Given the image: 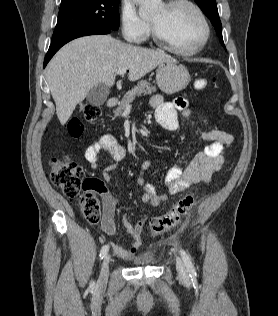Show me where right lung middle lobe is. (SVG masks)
<instances>
[{
	"instance_id": "right-lung-middle-lobe-1",
	"label": "right lung middle lobe",
	"mask_w": 278,
	"mask_h": 316,
	"mask_svg": "<svg viewBox=\"0 0 278 316\" xmlns=\"http://www.w3.org/2000/svg\"><path fill=\"white\" fill-rule=\"evenodd\" d=\"M118 6L119 0H62L52 43L87 30H117Z\"/></svg>"
}]
</instances>
